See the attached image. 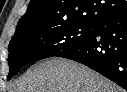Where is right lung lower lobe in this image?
<instances>
[{"label":"right lung lower lobe","mask_w":127,"mask_h":92,"mask_svg":"<svg viewBox=\"0 0 127 92\" xmlns=\"http://www.w3.org/2000/svg\"><path fill=\"white\" fill-rule=\"evenodd\" d=\"M94 26L88 39L56 56L82 63L127 90V12Z\"/></svg>","instance_id":"1"}]
</instances>
